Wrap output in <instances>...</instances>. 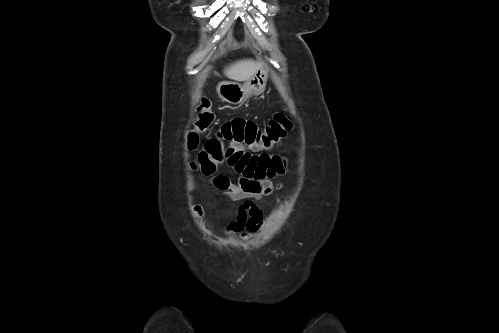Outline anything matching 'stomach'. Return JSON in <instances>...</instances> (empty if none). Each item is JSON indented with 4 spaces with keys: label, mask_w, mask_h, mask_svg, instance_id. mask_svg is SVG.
Returning <instances> with one entry per match:
<instances>
[{
    "label": "stomach",
    "mask_w": 499,
    "mask_h": 333,
    "mask_svg": "<svg viewBox=\"0 0 499 333\" xmlns=\"http://www.w3.org/2000/svg\"><path fill=\"white\" fill-rule=\"evenodd\" d=\"M268 70L259 68L254 75L244 84L237 82H221L217 86L219 97L230 104L237 105L242 103L252 95L261 94L266 86Z\"/></svg>",
    "instance_id": "1"
}]
</instances>
